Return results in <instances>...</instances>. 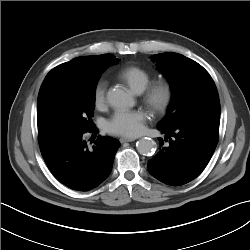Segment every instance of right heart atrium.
<instances>
[{
  "label": "right heart atrium",
  "instance_id": "right-heart-atrium-1",
  "mask_svg": "<svg viewBox=\"0 0 250 250\" xmlns=\"http://www.w3.org/2000/svg\"><path fill=\"white\" fill-rule=\"evenodd\" d=\"M108 83L105 79L100 78L93 90V100L96 107L101 108L106 103V92H107Z\"/></svg>",
  "mask_w": 250,
  "mask_h": 250
}]
</instances>
